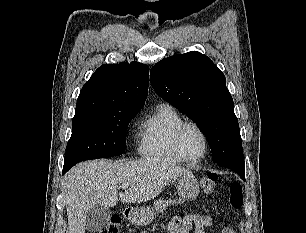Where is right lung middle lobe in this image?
<instances>
[{"label":"right lung middle lobe","mask_w":306,"mask_h":233,"mask_svg":"<svg viewBox=\"0 0 306 233\" xmlns=\"http://www.w3.org/2000/svg\"><path fill=\"white\" fill-rule=\"evenodd\" d=\"M135 110L80 107L75 110L73 130L64 158L71 168L83 160L107 158L125 151L126 129Z\"/></svg>","instance_id":"1"}]
</instances>
